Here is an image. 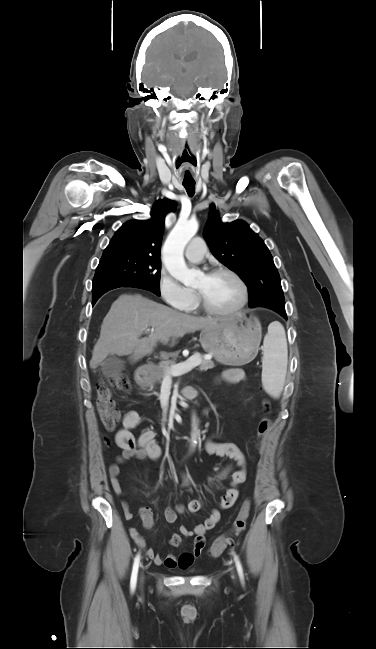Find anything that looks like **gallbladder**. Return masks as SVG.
<instances>
[{
    "label": "gallbladder",
    "mask_w": 376,
    "mask_h": 649,
    "mask_svg": "<svg viewBox=\"0 0 376 649\" xmlns=\"http://www.w3.org/2000/svg\"><path fill=\"white\" fill-rule=\"evenodd\" d=\"M123 368V360L115 355L110 354L104 360L101 370L105 375L113 377L117 375Z\"/></svg>",
    "instance_id": "1"
}]
</instances>
